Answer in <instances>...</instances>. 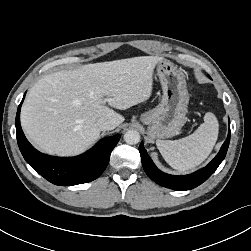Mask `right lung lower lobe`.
Here are the masks:
<instances>
[{
    "instance_id": "1",
    "label": "right lung lower lobe",
    "mask_w": 251,
    "mask_h": 251,
    "mask_svg": "<svg viewBox=\"0 0 251 251\" xmlns=\"http://www.w3.org/2000/svg\"><path fill=\"white\" fill-rule=\"evenodd\" d=\"M22 102L18 106L15 121L17 142L24 159L37 173L55 185L71 186L91 182L104 172L120 135L104 138L92 149L76 157H54L43 154L28 142L22 131L20 125Z\"/></svg>"
}]
</instances>
